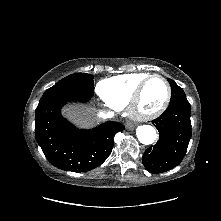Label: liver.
<instances>
[{"instance_id":"liver-1","label":"liver","mask_w":221,"mask_h":221,"mask_svg":"<svg viewBox=\"0 0 221 221\" xmlns=\"http://www.w3.org/2000/svg\"><path fill=\"white\" fill-rule=\"evenodd\" d=\"M64 113L71 121L82 126H88L92 123L95 108L74 106L64 109Z\"/></svg>"}]
</instances>
